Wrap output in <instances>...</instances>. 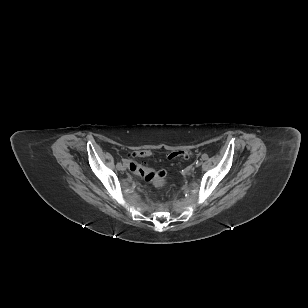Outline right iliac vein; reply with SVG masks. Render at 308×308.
<instances>
[{"instance_id": "63e3f726", "label": "right iliac vein", "mask_w": 308, "mask_h": 308, "mask_svg": "<svg viewBox=\"0 0 308 308\" xmlns=\"http://www.w3.org/2000/svg\"><path fill=\"white\" fill-rule=\"evenodd\" d=\"M117 168H118V170H121V171L126 170V167L122 164L118 165Z\"/></svg>"}]
</instances>
